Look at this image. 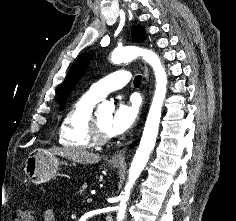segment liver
Here are the masks:
<instances>
[{
  "instance_id": "1",
  "label": "liver",
  "mask_w": 236,
  "mask_h": 221,
  "mask_svg": "<svg viewBox=\"0 0 236 221\" xmlns=\"http://www.w3.org/2000/svg\"><path fill=\"white\" fill-rule=\"evenodd\" d=\"M47 152L68 158L74 162L81 164H95L101 159V156L86 150L75 149V148H50Z\"/></svg>"
}]
</instances>
